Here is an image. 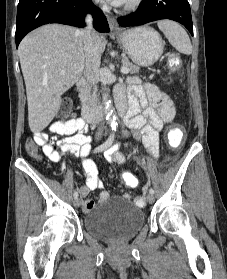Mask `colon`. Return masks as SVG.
<instances>
[{
    "instance_id": "colon-1",
    "label": "colon",
    "mask_w": 227,
    "mask_h": 279,
    "mask_svg": "<svg viewBox=\"0 0 227 279\" xmlns=\"http://www.w3.org/2000/svg\"><path fill=\"white\" fill-rule=\"evenodd\" d=\"M72 109V104L70 101H65L62 104V111H63V117L62 119H66L68 118V115L70 114ZM183 136L178 133L175 132L174 130L170 131V141L173 144H179L182 140ZM26 150L28 152L29 155H31L34 158H39V152H38V147L37 145L32 142V141H28L26 144ZM121 178L123 183L131 188H134L138 185L139 180L137 178V176L133 173L130 172H123L121 173ZM143 203V197L142 196H138L136 199V204L137 205H141Z\"/></svg>"
}]
</instances>
